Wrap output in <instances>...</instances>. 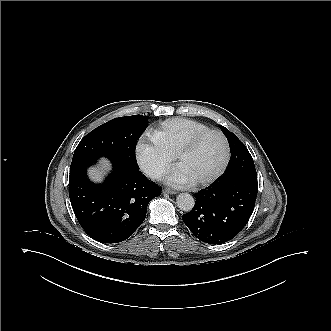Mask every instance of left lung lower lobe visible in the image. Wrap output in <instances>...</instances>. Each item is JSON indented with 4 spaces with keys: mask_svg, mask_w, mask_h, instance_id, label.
<instances>
[{
    "mask_svg": "<svg viewBox=\"0 0 331 331\" xmlns=\"http://www.w3.org/2000/svg\"><path fill=\"white\" fill-rule=\"evenodd\" d=\"M257 179L235 176L195 194L193 210L182 219L193 235L209 244L232 240L247 224L255 205Z\"/></svg>",
    "mask_w": 331,
    "mask_h": 331,
    "instance_id": "0a47b994",
    "label": "left lung lower lobe"
}]
</instances>
